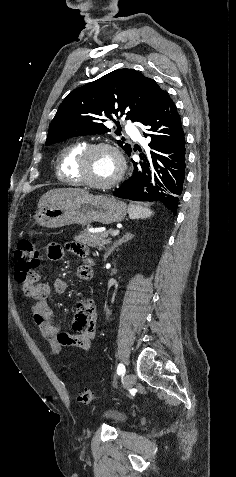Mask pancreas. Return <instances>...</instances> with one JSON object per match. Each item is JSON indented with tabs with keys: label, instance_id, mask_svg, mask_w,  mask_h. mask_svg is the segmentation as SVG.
I'll return each mask as SVG.
<instances>
[{
	"label": "pancreas",
	"instance_id": "cf45deb5",
	"mask_svg": "<svg viewBox=\"0 0 236 477\" xmlns=\"http://www.w3.org/2000/svg\"><path fill=\"white\" fill-rule=\"evenodd\" d=\"M111 233L112 230L98 233H91L84 230L81 234L75 236L74 240L92 248L97 247L99 250H102L105 248V245L110 243L111 238H108V236L111 235Z\"/></svg>",
	"mask_w": 236,
	"mask_h": 477
}]
</instances>
